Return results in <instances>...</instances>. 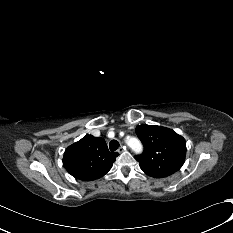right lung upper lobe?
Listing matches in <instances>:
<instances>
[{"instance_id":"obj_1","label":"right lung upper lobe","mask_w":233,"mask_h":233,"mask_svg":"<svg viewBox=\"0 0 233 233\" xmlns=\"http://www.w3.org/2000/svg\"><path fill=\"white\" fill-rule=\"evenodd\" d=\"M118 155L101 137L86 135L65 150L63 166L76 179L91 181L104 176Z\"/></svg>"}]
</instances>
